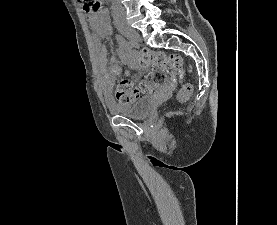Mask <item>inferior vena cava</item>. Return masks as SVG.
Wrapping results in <instances>:
<instances>
[{"mask_svg":"<svg viewBox=\"0 0 277 225\" xmlns=\"http://www.w3.org/2000/svg\"><path fill=\"white\" fill-rule=\"evenodd\" d=\"M112 4L115 5L118 9H122V6L120 4V0H111Z\"/></svg>","mask_w":277,"mask_h":225,"instance_id":"602c4592","label":"inferior vena cava"}]
</instances>
